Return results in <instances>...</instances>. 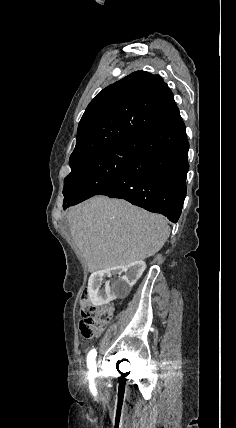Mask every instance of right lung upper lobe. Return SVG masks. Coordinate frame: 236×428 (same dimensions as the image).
<instances>
[{
    "label": "right lung upper lobe",
    "mask_w": 236,
    "mask_h": 428,
    "mask_svg": "<svg viewBox=\"0 0 236 428\" xmlns=\"http://www.w3.org/2000/svg\"><path fill=\"white\" fill-rule=\"evenodd\" d=\"M178 111L158 75L136 71L103 89L89 103L77 131L72 165L120 142L138 139Z\"/></svg>",
    "instance_id": "cb5924a9"
}]
</instances>
